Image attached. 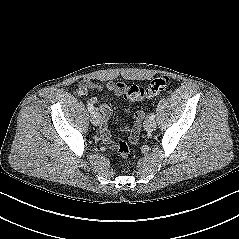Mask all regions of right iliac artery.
Instances as JSON below:
<instances>
[{
  "mask_svg": "<svg viewBox=\"0 0 239 239\" xmlns=\"http://www.w3.org/2000/svg\"><path fill=\"white\" fill-rule=\"evenodd\" d=\"M87 108L89 110L90 113L94 112V106L93 104H91L89 101L87 102Z\"/></svg>",
  "mask_w": 239,
  "mask_h": 239,
  "instance_id": "obj_1",
  "label": "right iliac artery"
}]
</instances>
